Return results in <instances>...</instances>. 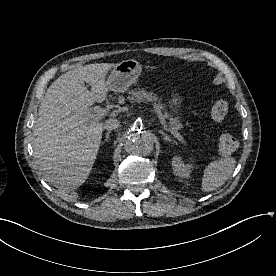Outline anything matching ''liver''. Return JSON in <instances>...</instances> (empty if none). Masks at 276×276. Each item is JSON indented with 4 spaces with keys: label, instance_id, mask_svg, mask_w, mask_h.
Here are the masks:
<instances>
[{
    "label": "liver",
    "instance_id": "6515ba94",
    "mask_svg": "<svg viewBox=\"0 0 276 276\" xmlns=\"http://www.w3.org/2000/svg\"><path fill=\"white\" fill-rule=\"evenodd\" d=\"M116 65L95 63L68 71L49 86L40 103L33 127L34 155L44 179L61 194L81 186L92 170L103 124L89 118V107L106 100V75Z\"/></svg>",
    "mask_w": 276,
    "mask_h": 276
}]
</instances>
